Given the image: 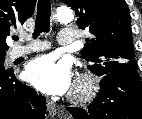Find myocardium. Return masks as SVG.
<instances>
[{
  "mask_svg": "<svg viewBox=\"0 0 142 119\" xmlns=\"http://www.w3.org/2000/svg\"><path fill=\"white\" fill-rule=\"evenodd\" d=\"M97 91V79L91 74H83L78 77L70 98L75 103L85 104L95 97Z\"/></svg>",
  "mask_w": 142,
  "mask_h": 119,
  "instance_id": "1",
  "label": "myocardium"
}]
</instances>
